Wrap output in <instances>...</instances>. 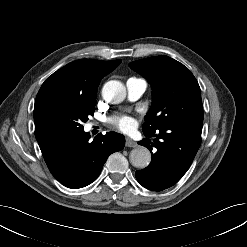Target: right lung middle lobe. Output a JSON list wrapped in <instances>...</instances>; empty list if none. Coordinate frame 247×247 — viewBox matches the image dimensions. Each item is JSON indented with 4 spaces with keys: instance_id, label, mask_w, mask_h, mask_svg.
<instances>
[{
    "instance_id": "right-lung-middle-lobe-1",
    "label": "right lung middle lobe",
    "mask_w": 247,
    "mask_h": 247,
    "mask_svg": "<svg viewBox=\"0 0 247 247\" xmlns=\"http://www.w3.org/2000/svg\"><path fill=\"white\" fill-rule=\"evenodd\" d=\"M95 104L96 100L46 99L34 107L35 130H82V124L88 120L89 115H93Z\"/></svg>"
}]
</instances>
